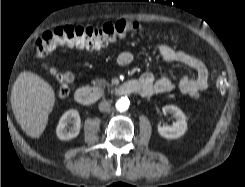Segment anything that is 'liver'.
<instances>
[{"mask_svg":"<svg viewBox=\"0 0 245 187\" xmlns=\"http://www.w3.org/2000/svg\"><path fill=\"white\" fill-rule=\"evenodd\" d=\"M55 103L53 88L40 76L22 72L14 82L11 105L22 130L32 138L44 132Z\"/></svg>","mask_w":245,"mask_h":187,"instance_id":"1","label":"liver"}]
</instances>
